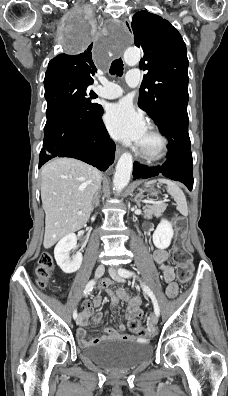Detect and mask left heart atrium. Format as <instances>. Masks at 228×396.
Segmentation results:
<instances>
[{
    "instance_id": "39dd6f15",
    "label": "left heart atrium",
    "mask_w": 228,
    "mask_h": 396,
    "mask_svg": "<svg viewBox=\"0 0 228 396\" xmlns=\"http://www.w3.org/2000/svg\"><path fill=\"white\" fill-rule=\"evenodd\" d=\"M104 121L110 134L124 142L140 145L147 132L144 116L128 100L110 105Z\"/></svg>"
}]
</instances>
